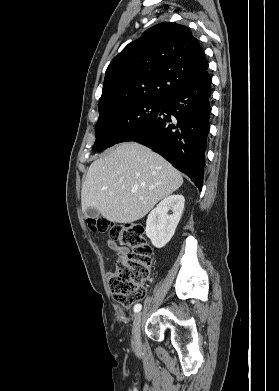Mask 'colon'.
<instances>
[{"instance_id":"5ec220e1","label":"colon","mask_w":279,"mask_h":391,"mask_svg":"<svg viewBox=\"0 0 279 391\" xmlns=\"http://www.w3.org/2000/svg\"><path fill=\"white\" fill-rule=\"evenodd\" d=\"M87 224L93 231H107L113 240L130 249L128 255L118 257L109 276V289L114 300L123 307L142 300L153 265V249L147 241L144 227L135 222L110 223L102 218H90Z\"/></svg>"}]
</instances>
